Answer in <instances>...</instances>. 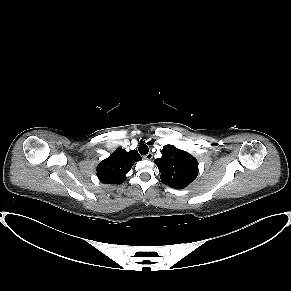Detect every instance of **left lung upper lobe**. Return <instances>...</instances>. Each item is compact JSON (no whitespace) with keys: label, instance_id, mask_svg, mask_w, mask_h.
I'll return each instance as SVG.
<instances>
[{"label":"left lung upper lobe","instance_id":"left-lung-upper-lobe-1","mask_svg":"<svg viewBox=\"0 0 291 291\" xmlns=\"http://www.w3.org/2000/svg\"><path fill=\"white\" fill-rule=\"evenodd\" d=\"M162 157L155 160L164 184L175 189L187 187L198 175L197 160L186 151L165 145Z\"/></svg>","mask_w":291,"mask_h":291}]
</instances>
